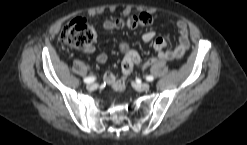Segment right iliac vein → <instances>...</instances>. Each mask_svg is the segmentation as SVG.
I'll return each instance as SVG.
<instances>
[{"instance_id": "right-iliac-vein-1", "label": "right iliac vein", "mask_w": 247, "mask_h": 145, "mask_svg": "<svg viewBox=\"0 0 247 145\" xmlns=\"http://www.w3.org/2000/svg\"><path fill=\"white\" fill-rule=\"evenodd\" d=\"M98 87L96 83H90L86 86V88L90 91L95 90Z\"/></svg>"}]
</instances>
